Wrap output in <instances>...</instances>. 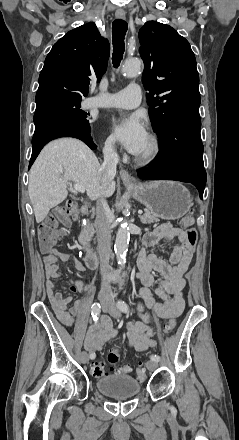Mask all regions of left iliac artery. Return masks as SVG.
<instances>
[{"label": "left iliac artery", "instance_id": "obj_1", "mask_svg": "<svg viewBox=\"0 0 239 440\" xmlns=\"http://www.w3.org/2000/svg\"><path fill=\"white\" fill-rule=\"evenodd\" d=\"M117 306H118L119 310L124 312V313H127L129 311V307H128L127 303L124 302L122 299L118 300ZM150 359L154 360L156 362H159L160 361V356L154 354V355L150 356Z\"/></svg>", "mask_w": 239, "mask_h": 440}]
</instances>
